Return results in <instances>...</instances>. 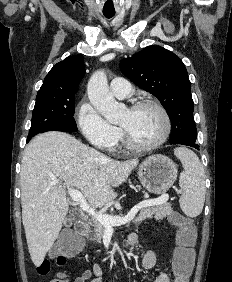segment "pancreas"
Wrapping results in <instances>:
<instances>
[{
	"instance_id": "1",
	"label": "pancreas",
	"mask_w": 232,
	"mask_h": 282,
	"mask_svg": "<svg viewBox=\"0 0 232 282\" xmlns=\"http://www.w3.org/2000/svg\"><path fill=\"white\" fill-rule=\"evenodd\" d=\"M172 213L173 209L171 203L165 202L161 205L151 206L143 209L140 214L133 220V222L135 224H138L146 219H151L153 217L156 220H162ZM112 216L123 217V215L121 214ZM90 225L94 228L93 231H90V233H93V238L91 237V239L95 240L97 243H100L105 231L104 225H102L97 220H92Z\"/></svg>"
}]
</instances>
